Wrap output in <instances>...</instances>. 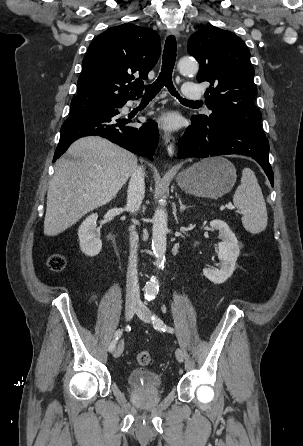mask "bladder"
Listing matches in <instances>:
<instances>
[{
	"mask_svg": "<svg viewBox=\"0 0 303 446\" xmlns=\"http://www.w3.org/2000/svg\"><path fill=\"white\" fill-rule=\"evenodd\" d=\"M126 383L134 389L158 390L162 387V378L154 371L135 368L127 374Z\"/></svg>",
	"mask_w": 303,
	"mask_h": 446,
	"instance_id": "1",
	"label": "bladder"
}]
</instances>
